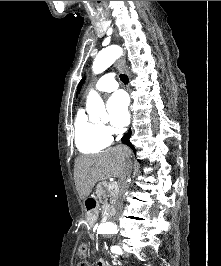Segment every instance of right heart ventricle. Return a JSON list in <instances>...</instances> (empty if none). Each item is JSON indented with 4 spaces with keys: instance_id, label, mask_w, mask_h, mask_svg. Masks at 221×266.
I'll return each instance as SVG.
<instances>
[{
    "instance_id": "1",
    "label": "right heart ventricle",
    "mask_w": 221,
    "mask_h": 266,
    "mask_svg": "<svg viewBox=\"0 0 221 266\" xmlns=\"http://www.w3.org/2000/svg\"><path fill=\"white\" fill-rule=\"evenodd\" d=\"M74 139L77 149L84 154L103 151L110 144L103 126L91 121L84 110H79L75 119Z\"/></svg>"
}]
</instances>
